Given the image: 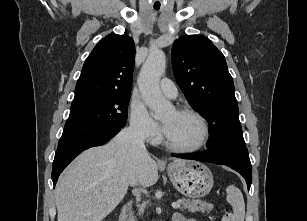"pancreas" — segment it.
Instances as JSON below:
<instances>
[{"instance_id": "pancreas-1", "label": "pancreas", "mask_w": 307, "mask_h": 221, "mask_svg": "<svg viewBox=\"0 0 307 221\" xmlns=\"http://www.w3.org/2000/svg\"><path fill=\"white\" fill-rule=\"evenodd\" d=\"M180 204L182 205V210L186 209L192 213L194 212H203L209 213L213 209V205L207 202H203L201 200H189V199H181L179 200ZM146 203H142L140 205V214L143 213Z\"/></svg>"}]
</instances>
